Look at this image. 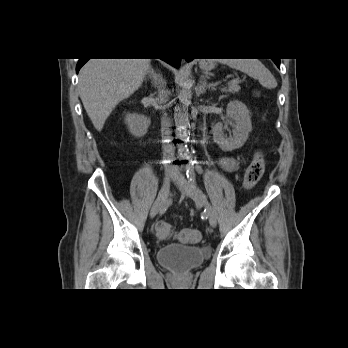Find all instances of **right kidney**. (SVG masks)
Instances as JSON below:
<instances>
[{"label": "right kidney", "mask_w": 348, "mask_h": 348, "mask_svg": "<svg viewBox=\"0 0 348 348\" xmlns=\"http://www.w3.org/2000/svg\"><path fill=\"white\" fill-rule=\"evenodd\" d=\"M125 124L129 132L137 138L143 137L148 130L150 119L137 113H128L125 116Z\"/></svg>", "instance_id": "1"}]
</instances>
